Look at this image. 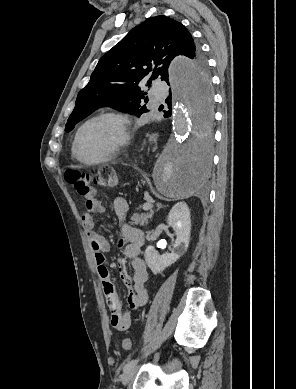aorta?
<instances>
[{"instance_id": "762f6f07", "label": "aorta", "mask_w": 296, "mask_h": 389, "mask_svg": "<svg viewBox=\"0 0 296 389\" xmlns=\"http://www.w3.org/2000/svg\"><path fill=\"white\" fill-rule=\"evenodd\" d=\"M174 108L172 138L154 171L157 190L164 196L182 198L202 189L212 166L214 142L211 74L179 56L169 69Z\"/></svg>"}]
</instances>
